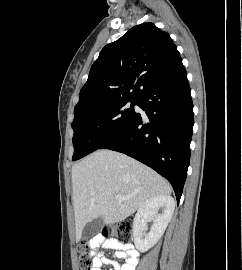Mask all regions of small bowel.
<instances>
[{"instance_id":"1","label":"small bowel","mask_w":242,"mask_h":270,"mask_svg":"<svg viewBox=\"0 0 242 270\" xmlns=\"http://www.w3.org/2000/svg\"><path fill=\"white\" fill-rule=\"evenodd\" d=\"M90 245L93 250H97L99 247L115 250L112 258L107 257L101 251L98 252L93 259L91 270H102L104 265H111L112 269L110 270H135L139 253L132 244L99 237L91 241ZM118 260H124L125 262L121 264Z\"/></svg>"}]
</instances>
